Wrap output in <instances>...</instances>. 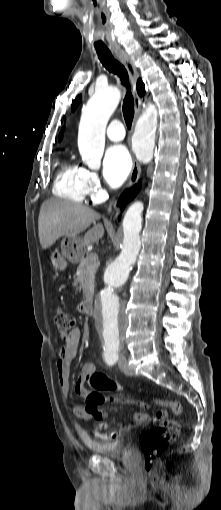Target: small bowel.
I'll list each match as a JSON object with an SVG mask.
<instances>
[{
    "label": "small bowel",
    "mask_w": 221,
    "mask_h": 510,
    "mask_svg": "<svg viewBox=\"0 0 221 510\" xmlns=\"http://www.w3.org/2000/svg\"><path fill=\"white\" fill-rule=\"evenodd\" d=\"M80 338V331L75 329L71 333L69 339L65 341V344L60 348L58 353V360L56 364L58 384L62 394L65 397H68L70 393V371L72 363L78 352ZM94 372H96L94 364L86 363L82 366L78 378L74 384L75 391L81 396L86 397L91 392V388L88 384V378ZM97 408L101 409L100 406ZM72 412L74 416L79 419H93V415L87 410L86 405L76 406L72 409ZM132 418V424L126 425L117 431L110 432L107 435H101L99 432H96V434L107 440H116L127 434L134 426H141L147 424L150 421L149 415L145 412H136L132 415Z\"/></svg>",
    "instance_id": "obj_1"
}]
</instances>
